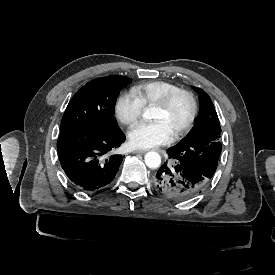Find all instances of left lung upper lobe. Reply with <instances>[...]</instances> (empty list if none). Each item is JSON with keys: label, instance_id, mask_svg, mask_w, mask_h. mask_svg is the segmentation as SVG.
Masks as SVG:
<instances>
[{"label": "left lung upper lobe", "instance_id": "1", "mask_svg": "<svg viewBox=\"0 0 275 275\" xmlns=\"http://www.w3.org/2000/svg\"><path fill=\"white\" fill-rule=\"evenodd\" d=\"M200 100V112L195 125L177 145L168 149L169 157L212 178L221 153V127L209 95L200 88L193 87Z\"/></svg>", "mask_w": 275, "mask_h": 275}]
</instances>
